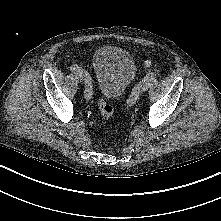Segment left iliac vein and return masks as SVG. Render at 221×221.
Returning <instances> with one entry per match:
<instances>
[{
  "label": "left iliac vein",
  "instance_id": "1",
  "mask_svg": "<svg viewBox=\"0 0 221 221\" xmlns=\"http://www.w3.org/2000/svg\"><path fill=\"white\" fill-rule=\"evenodd\" d=\"M149 88V82L148 81H144V83L141 86V90L142 91H146Z\"/></svg>",
  "mask_w": 221,
  "mask_h": 221
}]
</instances>
